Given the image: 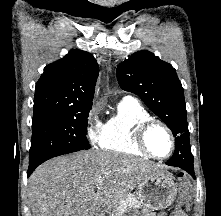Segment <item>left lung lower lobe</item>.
<instances>
[{"instance_id": "obj_1", "label": "left lung lower lobe", "mask_w": 221, "mask_h": 216, "mask_svg": "<svg viewBox=\"0 0 221 216\" xmlns=\"http://www.w3.org/2000/svg\"><path fill=\"white\" fill-rule=\"evenodd\" d=\"M166 165L179 167L195 177L193 168V155L191 153V150L181 147H175L174 154L166 162Z\"/></svg>"}]
</instances>
